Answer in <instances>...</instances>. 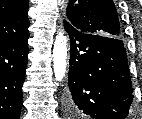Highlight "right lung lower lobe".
Here are the masks:
<instances>
[{"instance_id": "obj_1", "label": "right lung lower lobe", "mask_w": 142, "mask_h": 119, "mask_svg": "<svg viewBox=\"0 0 142 119\" xmlns=\"http://www.w3.org/2000/svg\"><path fill=\"white\" fill-rule=\"evenodd\" d=\"M29 33L0 45V119H19Z\"/></svg>"}]
</instances>
